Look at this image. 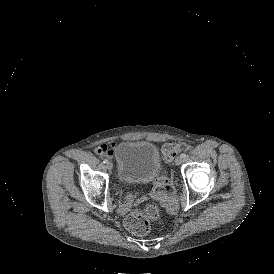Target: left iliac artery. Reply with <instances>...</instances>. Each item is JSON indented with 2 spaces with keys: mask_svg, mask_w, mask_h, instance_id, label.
I'll use <instances>...</instances> for the list:
<instances>
[{
  "mask_svg": "<svg viewBox=\"0 0 274 274\" xmlns=\"http://www.w3.org/2000/svg\"><path fill=\"white\" fill-rule=\"evenodd\" d=\"M180 157H181V158H185V157H186V154H185V153H182V154L180 155Z\"/></svg>",
  "mask_w": 274,
  "mask_h": 274,
  "instance_id": "left-iliac-artery-1",
  "label": "left iliac artery"
}]
</instances>
